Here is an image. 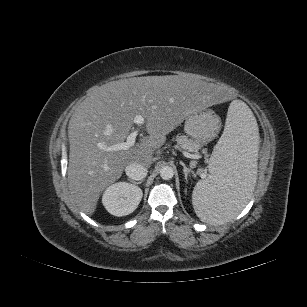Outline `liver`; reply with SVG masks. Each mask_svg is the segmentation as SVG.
I'll return each mask as SVG.
<instances>
[{
	"instance_id": "6515ba94",
	"label": "liver",
	"mask_w": 307,
	"mask_h": 307,
	"mask_svg": "<svg viewBox=\"0 0 307 307\" xmlns=\"http://www.w3.org/2000/svg\"><path fill=\"white\" fill-rule=\"evenodd\" d=\"M231 98L228 89L178 75L133 77L91 88L68 126L67 180L76 205L92 215L103 190L129 164L150 166L166 135L188 115L211 106L212 100L222 105ZM139 114L146 121L147 136L127 150L107 152L98 147L124 142Z\"/></svg>"
}]
</instances>
